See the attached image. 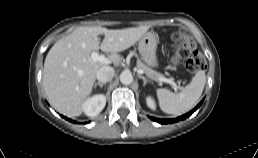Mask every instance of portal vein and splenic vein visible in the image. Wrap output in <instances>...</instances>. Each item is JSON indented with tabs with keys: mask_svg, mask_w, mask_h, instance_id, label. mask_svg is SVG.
I'll return each instance as SVG.
<instances>
[{
	"mask_svg": "<svg viewBox=\"0 0 258 158\" xmlns=\"http://www.w3.org/2000/svg\"><path fill=\"white\" fill-rule=\"evenodd\" d=\"M90 59L94 62H101V63H105V64H109L110 61L108 60V58H106L104 55H99L98 52L94 51L91 53L90 55ZM139 74H143L144 72L142 70H138ZM160 82H166L170 85H172V87L174 88L175 91H177L178 89H180L177 84L172 81L171 79L165 78V77H160L159 78Z\"/></svg>",
	"mask_w": 258,
	"mask_h": 158,
	"instance_id": "1",
	"label": "portal vein and splenic vein"
}]
</instances>
